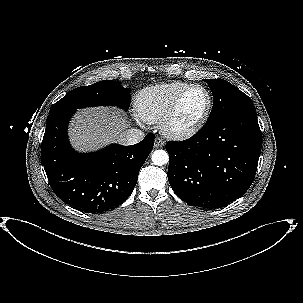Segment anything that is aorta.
I'll return each mask as SVG.
<instances>
[{
	"instance_id": "obj_1",
	"label": "aorta",
	"mask_w": 303,
	"mask_h": 303,
	"mask_svg": "<svg viewBox=\"0 0 303 303\" xmlns=\"http://www.w3.org/2000/svg\"><path fill=\"white\" fill-rule=\"evenodd\" d=\"M151 160L154 165L163 166L169 162V155L165 150H155L152 153Z\"/></svg>"
}]
</instances>
